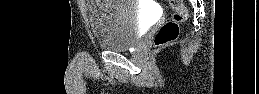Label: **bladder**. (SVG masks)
I'll return each instance as SVG.
<instances>
[{"label":"bladder","mask_w":259,"mask_h":94,"mask_svg":"<svg viewBox=\"0 0 259 94\" xmlns=\"http://www.w3.org/2000/svg\"><path fill=\"white\" fill-rule=\"evenodd\" d=\"M88 21L97 45L106 51L134 48L145 26V17L135 0H92Z\"/></svg>","instance_id":"31cf9c89"}]
</instances>
